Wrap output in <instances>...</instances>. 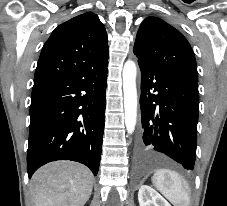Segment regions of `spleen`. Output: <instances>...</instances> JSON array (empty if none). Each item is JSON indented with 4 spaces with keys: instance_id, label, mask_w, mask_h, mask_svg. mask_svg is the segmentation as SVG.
Wrapping results in <instances>:
<instances>
[{
    "instance_id": "obj_1",
    "label": "spleen",
    "mask_w": 227,
    "mask_h": 206,
    "mask_svg": "<svg viewBox=\"0 0 227 206\" xmlns=\"http://www.w3.org/2000/svg\"><path fill=\"white\" fill-rule=\"evenodd\" d=\"M152 182L174 206H189L190 188L175 171L158 169L152 177Z\"/></svg>"
}]
</instances>
